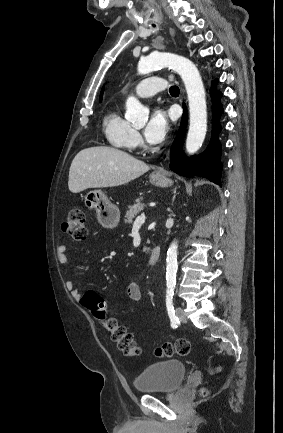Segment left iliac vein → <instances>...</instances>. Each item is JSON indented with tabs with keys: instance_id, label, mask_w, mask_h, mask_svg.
Segmentation results:
<instances>
[{
	"instance_id": "obj_1",
	"label": "left iliac vein",
	"mask_w": 283,
	"mask_h": 433,
	"mask_svg": "<svg viewBox=\"0 0 283 433\" xmlns=\"http://www.w3.org/2000/svg\"><path fill=\"white\" fill-rule=\"evenodd\" d=\"M176 314H177L180 322H183V323L187 322L186 314L181 307L176 308Z\"/></svg>"
}]
</instances>
